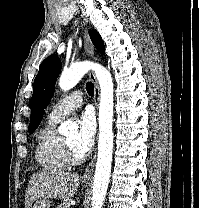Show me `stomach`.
Here are the masks:
<instances>
[{"label":"stomach","instance_id":"stomach-1","mask_svg":"<svg viewBox=\"0 0 199 208\" xmlns=\"http://www.w3.org/2000/svg\"><path fill=\"white\" fill-rule=\"evenodd\" d=\"M86 183V181H83ZM51 201L48 198H41L37 201H35L32 208H50Z\"/></svg>","mask_w":199,"mask_h":208}]
</instances>
